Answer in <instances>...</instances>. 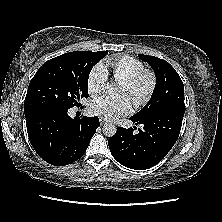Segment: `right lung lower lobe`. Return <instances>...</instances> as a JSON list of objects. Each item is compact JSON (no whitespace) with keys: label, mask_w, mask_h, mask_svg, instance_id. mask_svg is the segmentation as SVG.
I'll use <instances>...</instances> for the list:
<instances>
[{"label":"right lung lower lobe","mask_w":222,"mask_h":222,"mask_svg":"<svg viewBox=\"0 0 222 222\" xmlns=\"http://www.w3.org/2000/svg\"><path fill=\"white\" fill-rule=\"evenodd\" d=\"M68 109L45 108L25 114L29 140L49 164L64 166L83 156L99 127L97 117L72 119Z\"/></svg>","instance_id":"98d812e1"}]
</instances>
